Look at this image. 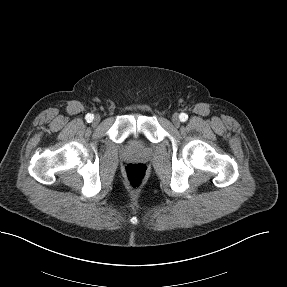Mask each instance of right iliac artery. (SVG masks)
Listing matches in <instances>:
<instances>
[{"mask_svg": "<svg viewBox=\"0 0 287 287\" xmlns=\"http://www.w3.org/2000/svg\"><path fill=\"white\" fill-rule=\"evenodd\" d=\"M85 119H86L87 122L90 123V122L93 121L94 116H93V114H87L86 117H85Z\"/></svg>", "mask_w": 287, "mask_h": 287, "instance_id": "82829eb1", "label": "right iliac artery"}]
</instances>
